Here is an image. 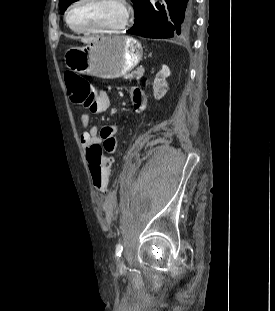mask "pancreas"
<instances>
[{"label": "pancreas", "mask_w": 275, "mask_h": 311, "mask_svg": "<svg viewBox=\"0 0 275 311\" xmlns=\"http://www.w3.org/2000/svg\"><path fill=\"white\" fill-rule=\"evenodd\" d=\"M143 72H144L143 68L140 67L136 71H133L132 73L126 74L124 76V78L129 79V80H132L134 78L139 79L140 77L143 76Z\"/></svg>", "instance_id": "1"}]
</instances>
